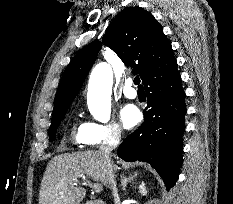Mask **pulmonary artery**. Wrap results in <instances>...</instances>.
Wrapping results in <instances>:
<instances>
[{
    "instance_id": "e3ab8cb5",
    "label": "pulmonary artery",
    "mask_w": 233,
    "mask_h": 204,
    "mask_svg": "<svg viewBox=\"0 0 233 204\" xmlns=\"http://www.w3.org/2000/svg\"><path fill=\"white\" fill-rule=\"evenodd\" d=\"M123 93L127 98L134 99L137 97V92L133 88L132 79H127L123 88Z\"/></svg>"
}]
</instances>
